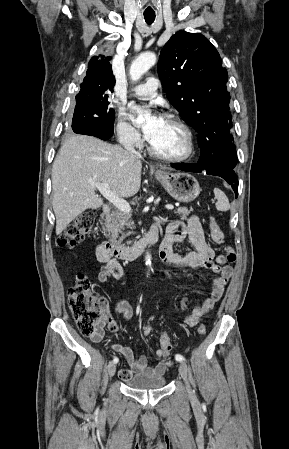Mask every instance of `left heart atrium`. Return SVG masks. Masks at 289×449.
Instances as JSON below:
<instances>
[{
    "label": "left heart atrium",
    "instance_id": "left-heart-atrium-1",
    "mask_svg": "<svg viewBox=\"0 0 289 449\" xmlns=\"http://www.w3.org/2000/svg\"><path fill=\"white\" fill-rule=\"evenodd\" d=\"M142 112V108L138 107V106H133L132 107V119L133 121H135L136 123H138L145 135V138L149 141L153 135L155 134V132L157 131V129L159 128L162 119L157 116V115H153L152 117H150V119L148 121H146L145 123L140 124L138 122V115Z\"/></svg>",
    "mask_w": 289,
    "mask_h": 449
}]
</instances>
